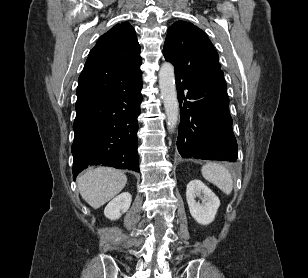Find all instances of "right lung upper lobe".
<instances>
[{"mask_svg": "<svg viewBox=\"0 0 308 278\" xmlns=\"http://www.w3.org/2000/svg\"><path fill=\"white\" fill-rule=\"evenodd\" d=\"M141 64L134 28L127 22L117 24L90 51L78 79L77 102L131 88L142 78Z\"/></svg>", "mask_w": 308, "mask_h": 278, "instance_id": "cb5924a9", "label": "right lung upper lobe"}]
</instances>
